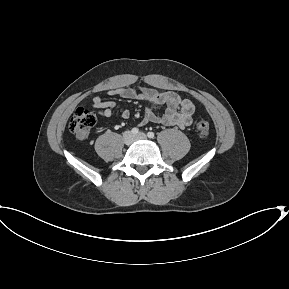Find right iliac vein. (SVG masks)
I'll use <instances>...</instances> for the list:
<instances>
[{
    "label": "right iliac vein",
    "mask_w": 289,
    "mask_h": 289,
    "mask_svg": "<svg viewBox=\"0 0 289 289\" xmlns=\"http://www.w3.org/2000/svg\"><path fill=\"white\" fill-rule=\"evenodd\" d=\"M134 136L130 131H126L123 134V141L126 145H129L133 142Z\"/></svg>",
    "instance_id": "right-iliac-vein-1"
}]
</instances>
